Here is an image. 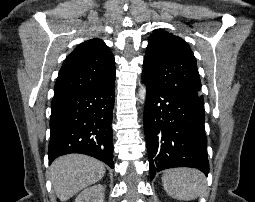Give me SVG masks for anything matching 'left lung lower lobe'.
<instances>
[{"label":"left lung lower lobe","mask_w":255,"mask_h":202,"mask_svg":"<svg viewBox=\"0 0 255 202\" xmlns=\"http://www.w3.org/2000/svg\"><path fill=\"white\" fill-rule=\"evenodd\" d=\"M147 88L144 131L150 178L161 170L192 167L209 172L204 130V101L167 91L142 77Z\"/></svg>","instance_id":"obj_1"}]
</instances>
